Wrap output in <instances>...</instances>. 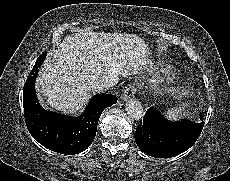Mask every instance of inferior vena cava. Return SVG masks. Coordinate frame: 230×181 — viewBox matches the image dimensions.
<instances>
[{
    "instance_id": "1",
    "label": "inferior vena cava",
    "mask_w": 230,
    "mask_h": 181,
    "mask_svg": "<svg viewBox=\"0 0 230 181\" xmlns=\"http://www.w3.org/2000/svg\"><path fill=\"white\" fill-rule=\"evenodd\" d=\"M118 79L114 77H105L103 79L97 80L92 84V92L100 93L102 91H107L114 87L117 83Z\"/></svg>"
}]
</instances>
